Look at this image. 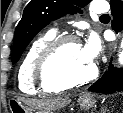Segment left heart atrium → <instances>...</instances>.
Returning a JSON list of instances; mask_svg holds the SVG:
<instances>
[{"mask_svg":"<svg viewBox=\"0 0 123 113\" xmlns=\"http://www.w3.org/2000/svg\"><path fill=\"white\" fill-rule=\"evenodd\" d=\"M101 51V43L99 38L95 34H91L88 40L82 45V52L85 58L93 62V60L99 55Z\"/></svg>","mask_w":123,"mask_h":113,"instance_id":"left-heart-atrium-1","label":"left heart atrium"}]
</instances>
